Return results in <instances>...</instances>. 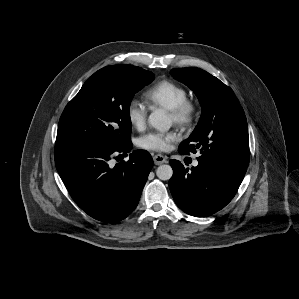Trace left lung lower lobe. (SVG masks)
Here are the masks:
<instances>
[{
	"label": "left lung lower lobe",
	"mask_w": 299,
	"mask_h": 299,
	"mask_svg": "<svg viewBox=\"0 0 299 299\" xmlns=\"http://www.w3.org/2000/svg\"><path fill=\"white\" fill-rule=\"evenodd\" d=\"M173 176L169 187L177 206L185 213L209 216L235 196L247 168L219 162L198 161L191 171L178 160H170Z\"/></svg>",
	"instance_id": "0a47b994"
}]
</instances>
